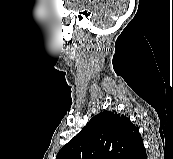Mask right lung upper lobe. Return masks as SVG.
Returning a JSON list of instances; mask_svg holds the SVG:
<instances>
[{"instance_id":"right-lung-upper-lobe-1","label":"right lung upper lobe","mask_w":173,"mask_h":159,"mask_svg":"<svg viewBox=\"0 0 173 159\" xmlns=\"http://www.w3.org/2000/svg\"><path fill=\"white\" fill-rule=\"evenodd\" d=\"M145 151L137 127L115 111L95 115L56 159H136Z\"/></svg>"}]
</instances>
